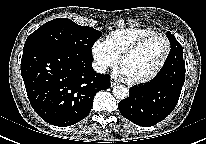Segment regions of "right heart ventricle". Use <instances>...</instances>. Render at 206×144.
Wrapping results in <instances>:
<instances>
[{
	"label": "right heart ventricle",
	"mask_w": 206,
	"mask_h": 144,
	"mask_svg": "<svg viewBox=\"0 0 206 144\" xmlns=\"http://www.w3.org/2000/svg\"><path fill=\"white\" fill-rule=\"evenodd\" d=\"M155 31L149 28L131 27L112 31L104 40L112 51L119 58L120 54L130 45L139 39L154 34Z\"/></svg>",
	"instance_id": "e07e8e85"
}]
</instances>
